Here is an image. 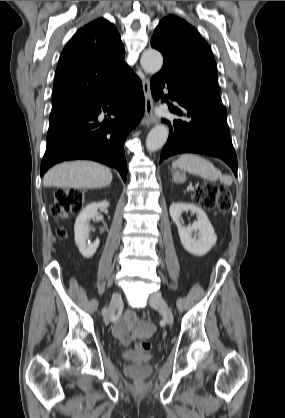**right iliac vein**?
I'll return each instance as SVG.
<instances>
[{
	"label": "right iliac vein",
	"mask_w": 285,
	"mask_h": 418,
	"mask_svg": "<svg viewBox=\"0 0 285 418\" xmlns=\"http://www.w3.org/2000/svg\"><path fill=\"white\" fill-rule=\"evenodd\" d=\"M121 304V295L119 293H115L112 296L108 311L104 317V322L105 324H109V322L111 321V319L113 318V316L115 315L116 310L118 309V307Z\"/></svg>",
	"instance_id": "63e3f726"
}]
</instances>
